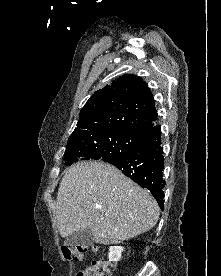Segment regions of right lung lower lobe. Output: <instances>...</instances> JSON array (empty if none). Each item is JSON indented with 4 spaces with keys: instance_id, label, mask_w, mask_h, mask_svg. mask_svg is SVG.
I'll return each instance as SVG.
<instances>
[{
    "instance_id": "98d812e1",
    "label": "right lung lower lobe",
    "mask_w": 221,
    "mask_h": 276,
    "mask_svg": "<svg viewBox=\"0 0 221 276\" xmlns=\"http://www.w3.org/2000/svg\"><path fill=\"white\" fill-rule=\"evenodd\" d=\"M162 153L160 126L154 125L130 153L109 163L116 166L141 187L147 188L163 210L165 181L163 180L164 159Z\"/></svg>"
}]
</instances>
